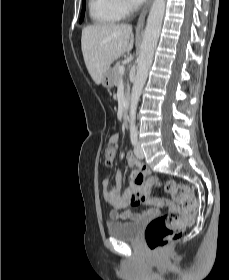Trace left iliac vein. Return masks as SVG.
Listing matches in <instances>:
<instances>
[{
  "label": "left iliac vein",
  "instance_id": "obj_1",
  "mask_svg": "<svg viewBox=\"0 0 229 280\" xmlns=\"http://www.w3.org/2000/svg\"><path fill=\"white\" fill-rule=\"evenodd\" d=\"M134 153L138 158H140V159L144 158V152L139 143H136V145L134 147Z\"/></svg>",
  "mask_w": 229,
  "mask_h": 280
}]
</instances>
